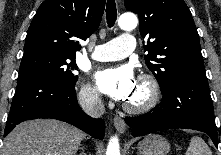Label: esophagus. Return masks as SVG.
<instances>
[{
  "label": "esophagus",
  "mask_w": 221,
  "mask_h": 155,
  "mask_svg": "<svg viewBox=\"0 0 221 155\" xmlns=\"http://www.w3.org/2000/svg\"><path fill=\"white\" fill-rule=\"evenodd\" d=\"M114 126H115V128H116L120 133H124L125 130H126L125 121H124V119H122V118L119 117V116H116V117L114 118Z\"/></svg>",
  "instance_id": "34e87169"
}]
</instances>
